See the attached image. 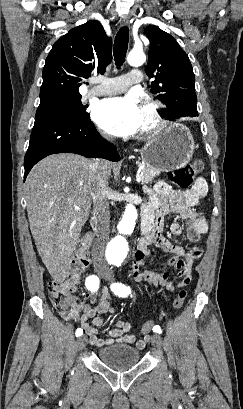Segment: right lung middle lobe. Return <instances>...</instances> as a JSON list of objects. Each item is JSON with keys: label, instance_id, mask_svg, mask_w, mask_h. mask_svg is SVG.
<instances>
[{"label": "right lung middle lobe", "instance_id": "dd1d6c3e", "mask_svg": "<svg viewBox=\"0 0 243 409\" xmlns=\"http://www.w3.org/2000/svg\"><path fill=\"white\" fill-rule=\"evenodd\" d=\"M39 114L70 117L75 120H85L90 117L86 112V106L81 103V95L40 101L36 115Z\"/></svg>", "mask_w": 243, "mask_h": 409}]
</instances>
